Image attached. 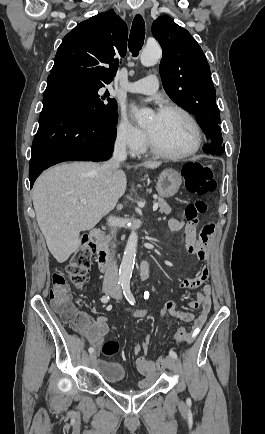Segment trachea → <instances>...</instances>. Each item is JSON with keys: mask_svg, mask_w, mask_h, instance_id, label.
Masks as SVG:
<instances>
[{"mask_svg": "<svg viewBox=\"0 0 265 434\" xmlns=\"http://www.w3.org/2000/svg\"><path fill=\"white\" fill-rule=\"evenodd\" d=\"M145 38V22L141 15H136L130 32L129 38V49L133 54V57H137L139 55V51L141 50Z\"/></svg>", "mask_w": 265, "mask_h": 434, "instance_id": "obj_1", "label": "trachea"}]
</instances>
